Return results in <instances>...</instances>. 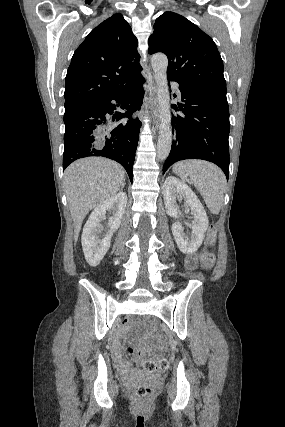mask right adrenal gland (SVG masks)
Wrapping results in <instances>:
<instances>
[{
    "mask_svg": "<svg viewBox=\"0 0 285 427\" xmlns=\"http://www.w3.org/2000/svg\"><path fill=\"white\" fill-rule=\"evenodd\" d=\"M124 186H125V183H123V185H122V187H121V190H123Z\"/></svg>",
    "mask_w": 285,
    "mask_h": 427,
    "instance_id": "obj_1",
    "label": "right adrenal gland"
}]
</instances>
